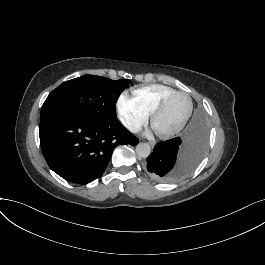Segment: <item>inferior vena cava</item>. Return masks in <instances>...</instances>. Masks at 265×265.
<instances>
[{
    "label": "inferior vena cava",
    "mask_w": 265,
    "mask_h": 265,
    "mask_svg": "<svg viewBox=\"0 0 265 265\" xmlns=\"http://www.w3.org/2000/svg\"><path fill=\"white\" fill-rule=\"evenodd\" d=\"M128 130L132 133H136L139 130H141V126L140 125H130V126H128Z\"/></svg>",
    "instance_id": "obj_1"
}]
</instances>
